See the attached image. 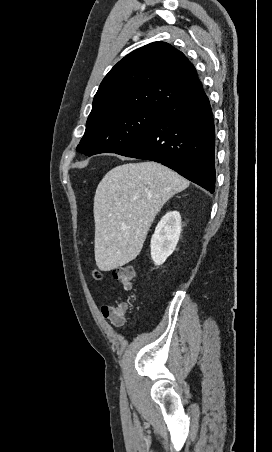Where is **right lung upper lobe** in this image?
Here are the masks:
<instances>
[{
	"label": "right lung upper lobe",
	"mask_w": 272,
	"mask_h": 452,
	"mask_svg": "<svg viewBox=\"0 0 272 452\" xmlns=\"http://www.w3.org/2000/svg\"><path fill=\"white\" fill-rule=\"evenodd\" d=\"M201 88L193 64L181 51L153 42L126 55L109 71L88 120L130 109L168 112Z\"/></svg>",
	"instance_id": "obj_1"
}]
</instances>
